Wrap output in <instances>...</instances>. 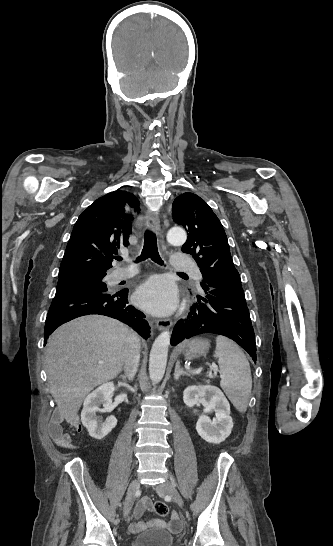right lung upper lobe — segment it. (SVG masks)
<instances>
[{
  "instance_id": "1",
  "label": "right lung upper lobe",
  "mask_w": 333,
  "mask_h": 546,
  "mask_svg": "<svg viewBox=\"0 0 333 546\" xmlns=\"http://www.w3.org/2000/svg\"><path fill=\"white\" fill-rule=\"evenodd\" d=\"M128 203L139 211L136 197L125 191L110 192L81 213L73 227L60 269L59 280L103 275L112 267L113 254L128 245L132 215Z\"/></svg>"
}]
</instances>
